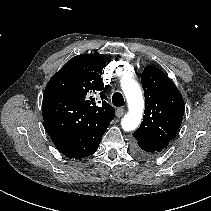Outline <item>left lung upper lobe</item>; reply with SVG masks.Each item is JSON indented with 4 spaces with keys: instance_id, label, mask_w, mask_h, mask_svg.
<instances>
[{
    "instance_id": "left-lung-upper-lobe-1",
    "label": "left lung upper lobe",
    "mask_w": 211,
    "mask_h": 211,
    "mask_svg": "<svg viewBox=\"0 0 211 211\" xmlns=\"http://www.w3.org/2000/svg\"><path fill=\"white\" fill-rule=\"evenodd\" d=\"M145 95V115L133 133L136 145L153 152L165 150L175 137L184 115V100L168 76L159 68L147 66L141 76Z\"/></svg>"
}]
</instances>
